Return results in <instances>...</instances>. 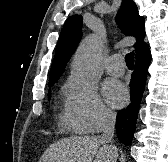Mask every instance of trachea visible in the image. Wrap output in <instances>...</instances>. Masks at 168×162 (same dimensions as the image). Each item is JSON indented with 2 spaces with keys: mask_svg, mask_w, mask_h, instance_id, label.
<instances>
[{
  "mask_svg": "<svg viewBox=\"0 0 168 162\" xmlns=\"http://www.w3.org/2000/svg\"><path fill=\"white\" fill-rule=\"evenodd\" d=\"M126 65L128 67H134V52H130L125 56Z\"/></svg>",
  "mask_w": 168,
  "mask_h": 162,
  "instance_id": "trachea-1",
  "label": "trachea"
}]
</instances>
